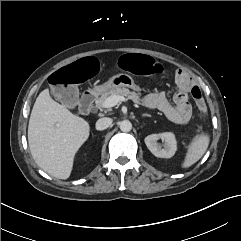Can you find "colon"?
Returning a JSON list of instances; mask_svg holds the SVG:
<instances>
[{"label":"colon","mask_w":241,"mask_h":241,"mask_svg":"<svg viewBox=\"0 0 241 241\" xmlns=\"http://www.w3.org/2000/svg\"><path fill=\"white\" fill-rule=\"evenodd\" d=\"M118 66L125 72L138 73L152 79H160L166 73L165 64L148 54L125 53L118 59ZM101 72L102 65L94 57H87L82 61L75 60L47 76V89L55 92V98L62 108L73 110L81 102V95L77 88L84 86L87 80L98 78ZM192 96L198 110L204 113L206 106L200 90L193 89Z\"/></svg>","instance_id":"1"}]
</instances>
